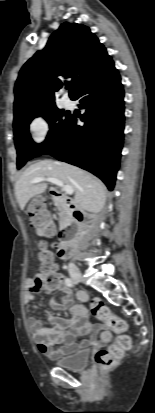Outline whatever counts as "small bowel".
<instances>
[{
    "label": "small bowel",
    "instance_id": "c3829d8e",
    "mask_svg": "<svg viewBox=\"0 0 155 413\" xmlns=\"http://www.w3.org/2000/svg\"><path fill=\"white\" fill-rule=\"evenodd\" d=\"M53 231L48 235H53ZM55 269L58 274V283L54 287H49L45 283L44 276L41 273L36 274L32 278H28L26 281V301L31 302L34 300L35 295L42 291H51L53 289L58 290L61 294V301H51V306L58 312H69L73 318L70 320L63 319L55 316L52 313H46V318L49 327L43 326L41 318L29 317L28 325L32 334V338L36 343L38 349L46 355L48 358L57 360L59 358L68 356L81 349L88 347L95 343V333H100V341L103 344H107L111 341L112 335L104 325H97L95 327V333H91L92 326L88 321V309L85 305L74 304L72 299V290L64 283V276L58 271L57 264ZM88 295L86 292L81 291L77 293V299L79 301H86ZM33 310L37 309V306H32ZM91 333V338L77 342L76 339L80 336Z\"/></svg>",
    "mask_w": 155,
    "mask_h": 413
}]
</instances>
